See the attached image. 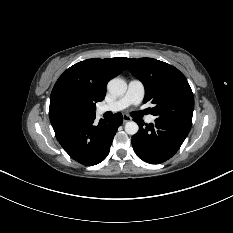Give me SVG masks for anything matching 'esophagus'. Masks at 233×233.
<instances>
[{
  "label": "esophagus",
  "instance_id": "esophagus-1",
  "mask_svg": "<svg viewBox=\"0 0 233 233\" xmlns=\"http://www.w3.org/2000/svg\"><path fill=\"white\" fill-rule=\"evenodd\" d=\"M129 121H131V117L126 115V114L123 115V122L126 123V122H129Z\"/></svg>",
  "mask_w": 233,
  "mask_h": 233
}]
</instances>
